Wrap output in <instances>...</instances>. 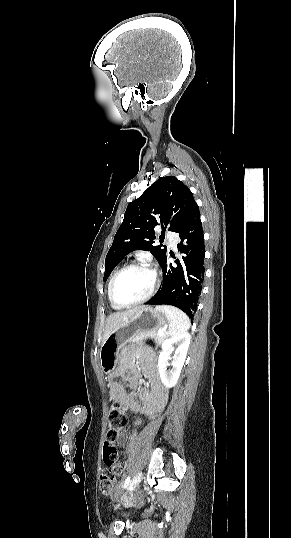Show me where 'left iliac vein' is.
Returning a JSON list of instances; mask_svg holds the SVG:
<instances>
[{
  "instance_id": "left-iliac-vein-1",
  "label": "left iliac vein",
  "mask_w": 291,
  "mask_h": 538,
  "mask_svg": "<svg viewBox=\"0 0 291 538\" xmlns=\"http://www.w3.org/2000/svg\"><path fill=\"white\" fill-rule=\"evenodd\" d=\"M142 479V472L139 471L133 478L132 482L130 483L129 485V488H128V491H129V494H132L134 489L138 486V484L140 483Z\"/></svg>"
}]
</instances>
